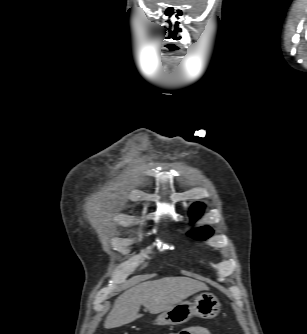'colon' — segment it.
<instances>
[{"label":"colon","mask_w":307,"mask_h":334,"mask_svg":"<svg viewBox=\"0 0 307 334\" xmlns=\"http://www.w3.org/2000/svg\"><path fill=\"white\" fill-rule=\"evenodd\" d=\"M124 334H129V333H124ZM172 334H183V333H182V331H181V332L172 333Z\"/></svg>","instance_id":"obj_1"}]
</instances>
